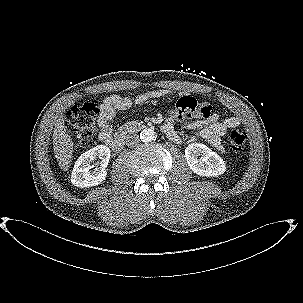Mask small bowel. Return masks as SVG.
Wrapping results in <instances>:
<instances>
[{"label": "small bowel", "mask_w": 303, "mask_h": 303, "mask_svg": "<svg viewBox=\"0 0 303 303\" xmlns=\"http://www.w3.org/2000/svg\"><path fill=\"white\" fill-rule=\"evenodd\" d=\"M173 92L167 89H158L147 91L139 94L134 102L137 105H142L149 99L172 97ZM132 101L128 97H122L117 94L106 96L103 98L99 107L97 123L100 128L98 139L107 144L112 137V128L109 124L110 120L114 118L116 110H127L131 107ZM202 116L200 119L190 122L186 125L187 129H199L198 136L207 141L210 145L219 151H223L221 139L225 135L227 129L238 127L241 123L238 116H229L223 120L219 115L214 113L207 103L201 105ZM181 118L174 114L167 117L162 125L165 132L172 133L169 137L174 142H180L181 138L174 129V122Z\"/></svg>", "instance_id": "small-bowel-1"}]
</instances>
